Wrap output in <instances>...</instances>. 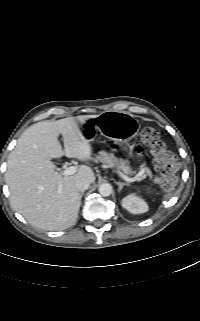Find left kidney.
<instances>
[{
	"instance_id": "left-kidney-1",
	"label": "left kidney",
	"mask_w": 200,
	"mask_h": 321,
	"mask_svg": "<svg viewBox=\"0 0 200 321\" xmlns=\"http://www.w3.org/2000/svg\"><path fill=\"white\" fill-rule=\"evenodd\" d=\"M121 204L126 210L133 214H141L148 211L147 203L134 194L124 197Z\"/></svg>"
}]
</instances>
